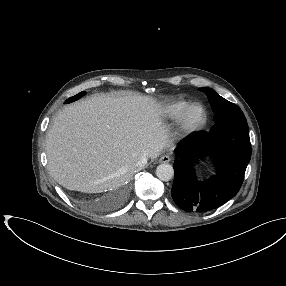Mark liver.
I'll return each mask as SVG.
<instances>
[{
	"label": "liver",
	"mask_w": 286,
	"mask_h": 286,
	"mask_svg": "<svg viewBox=\"0 0 286 286\" xmlns=\"http://www.w3.org/2000/svg\"><path fill=\"white\" fill-rule=\"evenodd\" d=\"M160 115L156 100L132 93L94 95L66 106L46 140L52 177L85 193L122 186L141 159L169 146Z\"/></svg>",
	"instance_id": "liver-1"
}]
</instances>
